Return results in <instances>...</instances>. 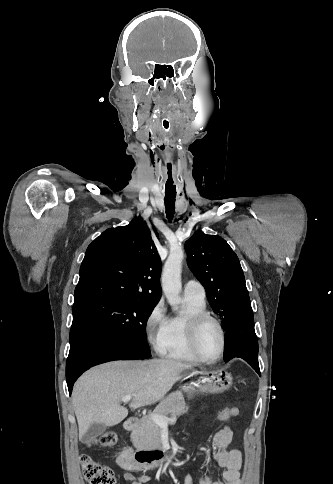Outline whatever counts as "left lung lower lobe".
<instances>
[{
  "label": "left lung lower lobe",
  "instance_id": "1",
  "mask_svg": "<svg viewBox=\"0 0 333 484\" xmlns=\"http://www.w3.org/2000/svg\"><path fill=\"white\" fill-rule=\"evenodd\" d=\"M224 361L234 357L247 361L259 374L258 341L254 330V317L251 305L239 310L227 325L225 334Z\"/></svg>",
  "mask_w": 333,
  "mask_h": 484
}]
</instances>
